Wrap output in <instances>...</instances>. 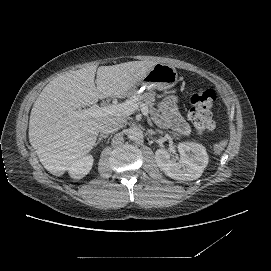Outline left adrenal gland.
Returning a JSON list of instances; mask_svg holds the SVG:
<instances>
[{"label": "left adrenal gland", "mask_w": 271, "mask_h": 271, "mask_svg": "<svg viewBox=\"0 0 271 271\" xmlns=\"http://www.w3.org/2000/svg\"><path fill=\"white\" fill-rule=\"evenodd\" d=\"M157 132H158V133H162V131H161V130H157Z\"/></svg>", "instance_id": "1"}]
</instances>
